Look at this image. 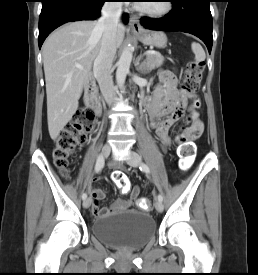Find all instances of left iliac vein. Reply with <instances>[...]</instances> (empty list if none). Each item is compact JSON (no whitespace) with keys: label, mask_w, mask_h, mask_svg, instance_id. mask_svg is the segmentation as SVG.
<instances>
[{"label":"left iliac vein","mask_w":258,"mask_h":275,"mask_svg":"<svg viewBox=\"0 0 258 275\" xmlns=\"http://www.w3.org/2000/svg\"><path fill=\"white\" fill-rule=\"evenodd\" d=\"M127 163L132 166V167H139L140 163H141V157L139 154H137L136 152L131 151L130 152V157L127 160ZM155 208L158 212H162L164 209L163 203L161 201H156L155 203Z\"/></svg>","instance_id":"left-iliac-vein-1"}]
</instances>
